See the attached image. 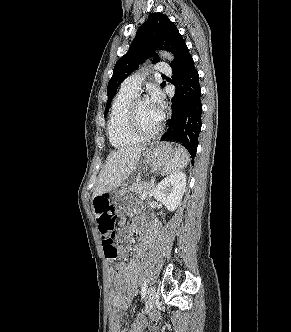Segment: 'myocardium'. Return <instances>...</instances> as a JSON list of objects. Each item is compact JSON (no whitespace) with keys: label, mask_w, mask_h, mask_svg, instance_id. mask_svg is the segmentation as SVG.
Wrapping results in <instances>:
<instances>
[{"label":"myocardium","mask_w":291,"mask_h":332,"mask_svg":"<svg viewBox=\"0 0 291 332\" xmlns=\"http://www.w3.org/2000/svg\"><path fill=\"white\" fill-rule=\"evenodd\" d=\"M147 100L148 99L146 97H135L129 106L128 115H127V125H128L129 131L134 136H136L137 138H140L141 140L151 139V138L158 136L162 132L164 125H165L164 114L161 111V122L155 130H153L151 132H145L139 127L138 107L142 102L147 101Z\"/></svg>","instance_id":"f54148a6"}]
</instances>
